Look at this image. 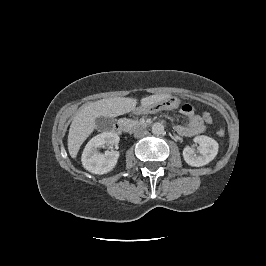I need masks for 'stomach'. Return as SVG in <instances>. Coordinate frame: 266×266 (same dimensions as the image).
Segmentation results:
<instances>
[{"instance_id":"1","label":"stomach","mask_w":266,"mask_h":266,"mask_svg":"<svg viewBox=\"0 0 266 266\" xmlns=\"http://www.w3.org/2000/svg\"><path fill=\"white\" fill-rule=\"evenodd\" d=\"M167 102L170 104V107H171L173 106L174 102H176V100H173V98H167L163 101L156 102L150 105H146V106L142 105L141 108L146 113H156L162 109L167 108V105H166Z\"/></svg>"}]
</instances>
